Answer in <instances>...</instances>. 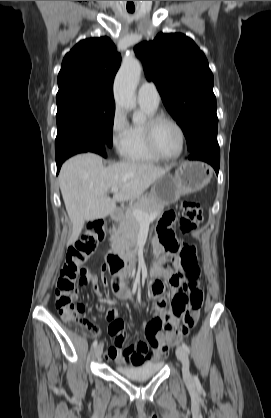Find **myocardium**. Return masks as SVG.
I'll return each mask as SVG.
<instances>
[{
    "label": "myocardium",
    "mask_w": 271,
    "mask_h": 418,
    "mask_svg": "<svg viewBox=\"0 0 271 418\" xmlns=\"http://www.w3.org/2000/svg\"><path fill=\"white\" fill-rule=\"evenodd\" d=\"M162 122L171 123L178 130L180 134V140H181L180 149L178 153H176L175 155H172V156L164 155L163 153L160 152V150L158 149L156 145V141H155L156 129L158 125ZM144 132H145V139H146L147 146L149 150L157 158L161 160L170 161V160H175L182 155L185 149L186 135H185V131L183 127L174 118L165 114H155L146 120L145 125H144Z\"/></svg>",
    "instance_id": "1"
}]
</instances>
